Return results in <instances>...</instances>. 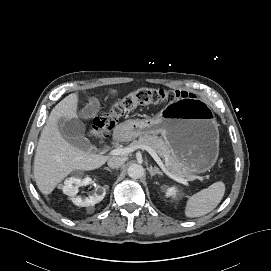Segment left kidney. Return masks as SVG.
I'll return each instance as SVG.
<instances>
[{
	"label": "left kidney",
	"instance_id": "5707ae66",
	"mask_svg": "<svg viewBox=\"0 0 271 271\" xmlns=\"http://www.w3.org/2000/svg\"><path fill=\"white\" fill-rule=\"evenodd\" d=\"M176 195V189L175 188H169L166 192V196H175Z\"/></svg>",
	"mask_w": 271,
	"mask_h": 271
}]
</instances>
